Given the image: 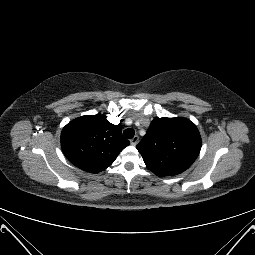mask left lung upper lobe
Masks as SVG:
<instances>
[{"mask_svg": "<svg viewBox=\"0 0 255 255\" xmlns=\"http://www.w3.org/2000/svg\"><path fill=\"white\" fill-rule=\"evenodd\" d=\"M136 148L154 174L173 176L184 172L196 160L201 136L186 118H155Z\"/></svg>", "mask_w": 255, "mask_h": 255, "instance_id": "left-lung-upper-lobe-1", "label": "left lung upper lobe"}]
</instances>
